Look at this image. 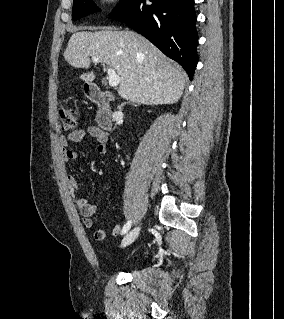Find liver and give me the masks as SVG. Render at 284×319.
I'll return each instance as SVG.
<instances>
[{"label":"liver","instance_id":"liver-1","mask_svg":"<svg viewBox=\"0 0 284 319\" xmlns=\"http://www.w3.org/2000/svg\"><path fill=\"white\" fill-rule=\"evenodd\" d=\"M75 68L90 67V57L99 58L120 76L118 94L138 104L158 105L177 102L185 88L187 75L158 48L140 34L123 31H77L63 54ZM80 79L90 83L93 71Z\"/></svg>","mask_w":284,"mask_h":319}]
</instances>
